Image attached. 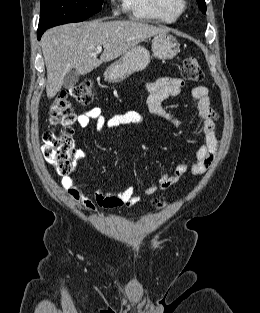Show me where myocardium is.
<instances>
[{
	"mask_svg": "<svg viewBox=\"0 0 260 313\" xmlns=\"http://www.w3.org/2000/svg\"><path fill=\"white\" fill-rule=\"evenodd\" d=\"M172 6L179 12L182 13L187 8L186 0H171Z\"/></svg>",
	"mask_w": 260,
	"mask_h": 313,
	"instance_id": "1",
	"label": "myocardium"
}]
</instances>
